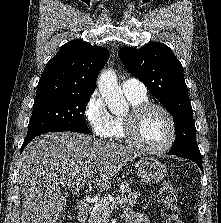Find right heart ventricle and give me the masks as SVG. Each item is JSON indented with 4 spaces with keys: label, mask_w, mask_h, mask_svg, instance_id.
Here are the masks:
<instances>
[{
    "label": "right heart ventricle",
    "mask_w": 221,
    "mask_h": 223,
    "mask_svg": "<svg viewBox=\"0 0 221 223\" xmlns=\"http://www.w3.org/2000/svg\"><path fill=\"white\" fill-rule=\"evenodd\" d=\"M133 106L147 102V96H127ZM124 117H113V134L112 138L116 141H124Z\"/></svg>",
    "instance_id": "e07e8e85"
}]
</instances>
